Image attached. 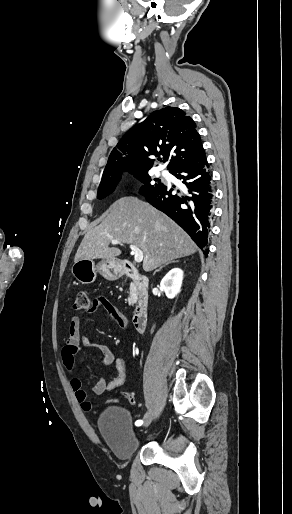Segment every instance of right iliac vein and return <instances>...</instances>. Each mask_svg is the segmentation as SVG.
<instances>
[{"instance_id":"right-iliac-vein-1","label":"right iliac vein","mask_w":292,"mask_h":514,"mask_svg":"<svg viewBox=\"0 0 292 514\" xmlns=\"http://www.w3.org/2000/svg\"><path fill=\"white\" fill-rule=\"evenodd\" d=\"M152 415H153L152 410H149L146 413V415L144 417V427H147L150 424L151 419H152Z\"/></svg>"}]
</instances>
